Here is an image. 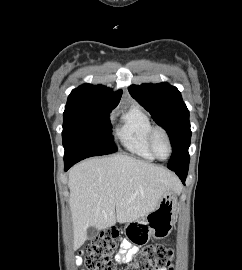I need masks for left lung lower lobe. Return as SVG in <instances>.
Listing matches in <instances>:
<instances>
[{"mask_svg": "<svg viewBox=\"0 0 242 270\" xmlns=\"http://www.w3.org/2000/svg\"><path fill=\"white\" fill-rule=\"evenodd\" d=\"M176 174L179 176L183 184L185 183L187 172H176Z\"/></svg>", "mask_w": 242, "mask_h": 270, "instance_id": "0a47b994", "label": "left lung lower lobe"}]
</instances>
